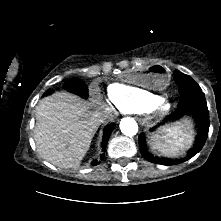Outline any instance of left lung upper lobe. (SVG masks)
Listing matches in <instances>:
<instances>
[{"label": "left lung upper lobe", "mask_w": 221, "mask_h": 221, "mask_svg": "<svg viewBox=\"0 0 221 221\" xmlns=\"http://www.w3.org/2000/svg\"><path fill=\"white\" fill-rule=\"evenodd\" d=\"M174 79L179 86V92L182 97L202 92L200 86L190 76L178 70L174 72ZM163 160H166V158H163Z\"/></svg>", "instance_id": "obj_1"}]
</instances>
